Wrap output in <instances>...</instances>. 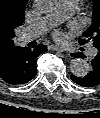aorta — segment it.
Instances as JSON below:
<instances>
[{"mask_svg":"<svg viewBox=\"0 0 100 118\" xmlns=\"http://www.w3.org/2000/svg\"><path fill=\"white\" fill-rule=\"evenodd\" d=\"M37 8L42 12H53L58 8V0H35ZM70 71L77 77H85L89 71V64L81 58H74L69 64Z\"/></svg>","mask_w":100,"mask_h":118,"instance_id":"1","label":"aorta"}]
</instances>
